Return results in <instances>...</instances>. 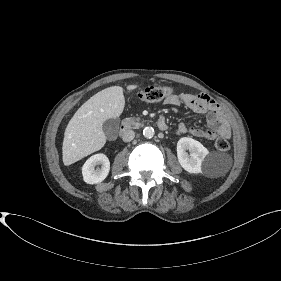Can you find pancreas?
Masks as SVG:
<instances>
[{
    "instance_id": "1",
    "label": "pancreas",
    "mask_w": 281,
    "mask_h": 281,
    "mask_svg": "<svg viewBox=\"0 0 281 281\" xmlns=\"http://www.w3.org/2000/svg\"><path fill=\"white\" fill-rule=\"evenodd\" d=\"M123 124L126 125L128 128H139L142 126L140 122V118L130 117L123 120Z\"/></svg>"
}]
</instances>
